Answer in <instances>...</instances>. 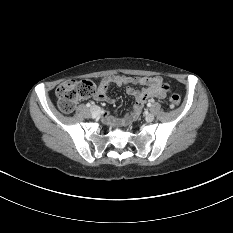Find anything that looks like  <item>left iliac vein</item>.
<instances>
[{
    "instance_id": "1",
    "label": "left iliac vein",
    "mask_w": 233,
    "mask_h": 233,
    "mask_svg": "<svg viewBox=\"0 0 233 233\" xmlns=\"http://www.w3.org/2000/svg\"><path fill=\"white\" fill-rule=\"evenodd\" d=\"M145 119L147 122H152L154 120V115L151 113H148L145 115Z\"/></svg>"
}]
</instances>
